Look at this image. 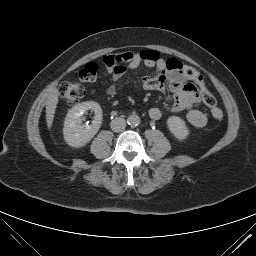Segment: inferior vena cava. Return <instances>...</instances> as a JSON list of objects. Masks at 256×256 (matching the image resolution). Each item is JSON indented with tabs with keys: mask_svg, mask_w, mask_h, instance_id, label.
<instances>
[{
	"mask_svg": "<svg viewBox=\"0 0 256 256\" xmlns=\"http://www.w3.org/2000/svg\"><path fill=\"white\" fill-rule=\"evenodd\" d=\"M111 129L114 132H120L125 129L126 122L125 119L122 117H116L114 118L110 123Z\"/></svg>",
	"mask_w": 256,
	"mask_h": 256,
	"instance_id": "obj_1",
	"label": "inferior vena cava"
}]
</instances>
